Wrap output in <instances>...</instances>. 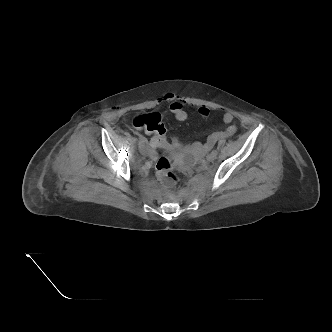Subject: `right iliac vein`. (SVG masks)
<instances>
[{"label":"right iliac vein","mask_w":332,"mask_h":332,"mask_svg":"<svg viewBox=\"0 0 332 332\" xmlns=\"http://www.w3.org/2000/svg\"><path fill=\"white\" fill-rule=\"evenodd\" d=\"M138 148L140 152H144L145 151V143L142 141L138 142Z\"/></svg>","instance_id":"63e3f726"}]
</instances>
